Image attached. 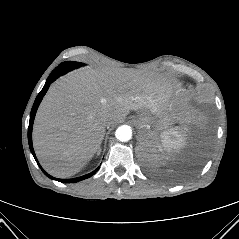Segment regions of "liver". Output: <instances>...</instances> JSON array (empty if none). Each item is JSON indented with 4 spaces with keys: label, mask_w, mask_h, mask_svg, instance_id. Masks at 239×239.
<instances>
[{
    "label": "liver",
    "mask_w": 239,
    "mask_h": 239,
    "mask_svg": "<svg viewBox=\"0 0 239 239\" xmlns=\"http://www.w3.org/2000/svg\"><path fill=\"white\" fill-rule=\"evenodd\" d=\"M138 109L153 115L175 112L180 123L192 119L177 85L153 73L85 69L57 80L43 98L33 128L42 167L59 178L76 174L98 150L105 120L120 123Z\"/></svg>",
    "instance_id": "1"
}]
</instances>
